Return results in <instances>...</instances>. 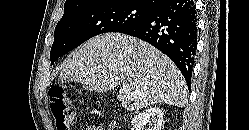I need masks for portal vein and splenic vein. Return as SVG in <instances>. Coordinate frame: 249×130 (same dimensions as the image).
Wrapping results in <instances>:
<instances>
[{
	"instance_id": "1",
	"label": "portal vein and splenic vein",
	"mask_w": 249,
	"mask_h": 130,
	"mask_svg": "<svg viewBox=\"0 0 249 130\" xmlns=\"http://www.w3.org/2000/svg\"><path fill=\"white\" fill-rule=\"evenodd\" d=\"M123 90H126V87L123 86Z\"/></svg>"
}]
</instances>
